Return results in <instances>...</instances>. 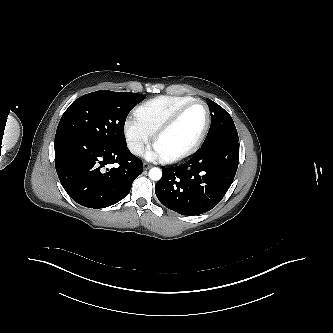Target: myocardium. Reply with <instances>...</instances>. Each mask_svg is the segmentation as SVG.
Here are the masks:
<instances>
[{
  "mask_svg": "<svg viewBox=\"0 0 333 333\" xmlns=\"http://www.w3.org/2000/svg\"><path fill=\"white\" fill-rule=\"evenodd\" d=\"M195 104H202L206 110V121H205V125L199 135V137L197 138V140L193 143V145L191 147H189L187 150L169 156V157H165V161L169 162V163H175V162H179L182 161L190 156H192L193 154H195L199 148L201 147V145L203 144L210 126H211V111L210 108L208 106V104L201 99H194L184 105H182L181 107H179L166 121H164L159 127L158 129L155 131L154 133V145L156 146L157 141L160 139V137L166 133L170 128H172L175 123L181 118V116L193 105Z\"/></svg>",
  "mask_w": 333,
  "mask_h": 333,
  "instance_id": "myocardium-1",
  "label": "myocardium"
}]
</instances>
